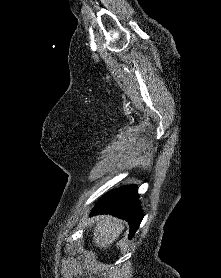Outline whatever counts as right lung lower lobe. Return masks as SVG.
Returning a JSON list of instances; mask_svg holds the SVG:
<instances>
[{"instance_id": "1", "label": "right lung lower lobe", "mask_w": 221, "mask_h": 278, "mask_svg": "<svg viewBox=\"0 0 221 278\" xmlns=\"http://www.w3.org/2000/svg\"><path fill=\"white\" fill-rule=\"evenodd\" d=\"M137 190L136 185H130L108 193L93 208L91 215L111 214L128 221L130 226L129 238H131L143 218Z\"/></svg>"}]
</instances>
